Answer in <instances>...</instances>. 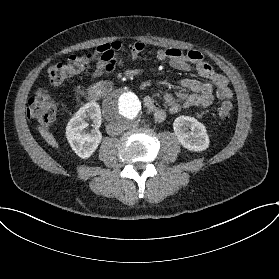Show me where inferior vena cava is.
Masks as SVG:
<instances>
[{"mask_svg": "<svg viewBox=\"0 0 279 279\" xmlns=\"http://www.w3.org/2000/svg\"><path fill=\"white\" fill-rule=\"evenodd\" d=\"M106 132L110 136L120 135L123 132V129L118 125L108 124L106 126Z\"/></svg>", "mask_w": 279, "mask_h": 279, "instance_id": "obj_1", "label": "inferior vena cava"}]
</instances>
